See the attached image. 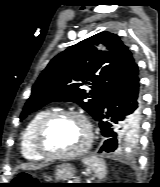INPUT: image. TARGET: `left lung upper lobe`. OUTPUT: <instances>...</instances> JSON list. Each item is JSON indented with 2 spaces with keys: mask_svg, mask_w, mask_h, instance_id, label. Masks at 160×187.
Masks as SVG:
<instances>
[{
  "mask_svg": "<svg viewBox=\"0 0 160 187\" xmlns=\"http://www.w3.org/2000/svg\"><path fill=\"white\" fill-rule=\"evenodd\" d=\"M107 46L98 51L95 45ZM134 59L121 39L110 32H101L55 56L33 85L20 120L52 101L78 103L93 118L107 93L128 75ZM88 84L90 91L82 89ZM139 123L121 130V134L137 139Z\"/></svg>",
  "mask_w": 160,
  "mask_h": 187,
  "instance_id": "1",
  "label": "left lung upper lobe"
}]
</instances>
